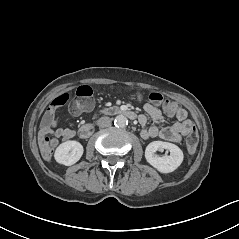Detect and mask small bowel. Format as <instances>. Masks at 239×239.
<instances>
[{
  "label": "small bowel",
  "instance_id": "small-bowel-1",
  "mask_svg": "<svg viewBox=\"0 0 239 239\" xmlns=\"http://www.w3.org/2000/svg\"><path fill=\"white\" fill-rule=\"evenodd\" d=\"M144 111L155 121L163 118L161 110L154 104L147 103L144 105ZM170 117H175L176 122L170 126L158 128L156 126L145 127L147 118L145 115H140L138 118L139 123L144 126L141 131V136L144 139L159 137L166 141L179 142L185 136H188L192 130H195L193 122L188 119V113L183 108H178L175 113L167 114ZM52 135L53 138L48 136ZM75 136V131L58 127L57 122H53L47 127H42L39 132V144L42 156L48 160L51 158L53 150L58 146L59 139L68 140Z\"/></svg>",
  "mask_w": 239,
  "mask_h": 239
}]
</instances>
